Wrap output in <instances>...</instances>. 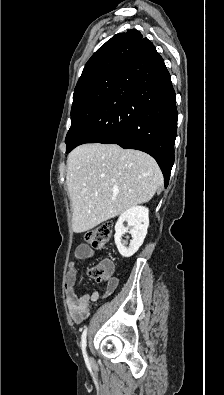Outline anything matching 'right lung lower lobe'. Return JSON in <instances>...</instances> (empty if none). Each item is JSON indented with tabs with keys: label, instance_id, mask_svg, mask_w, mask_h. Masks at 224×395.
Here are the masks:
<instances>
[{
	"label": "right lung lower lobe",
	"instance_id": "obj_1",
	"mask_svg": "<svg viewBox=\"0 0 224 395\" xmlns=\"http://www.w3.org/2000/svg\"><path fill=\"white\" fill-rule=\"evenodd\" d=\"M176 94L163 58L144 39L104 104L66 153L84 143H113L151 155L168 186L174 163Z\"/></svg>",
	"mask_w": 224,
	"mask_h": 395
}]
</instances>
